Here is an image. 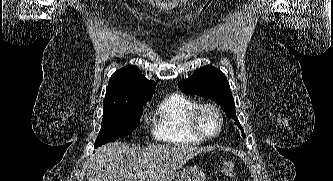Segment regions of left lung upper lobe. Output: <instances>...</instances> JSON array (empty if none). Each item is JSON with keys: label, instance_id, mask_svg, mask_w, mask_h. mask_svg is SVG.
Listing matches in <instances>:
<instances>
[{"label": "left lung upper lobe", "instance_id": "left-lung-upper-lobe-1", "mask_svg": "<svg viewBox=\"0 0 333 181\" xmlns=\"http://www.w3.org/2000/svg\"><path fill=\"white\" fill-rule=\"evenodd\" d=\"M180 90L187 94H196L215 101L224 108L229 119L235 120L245 138L243 129L236 117L234 99L226 76L213 66L196 70L193 75L178 83Z\"/></svg>", "mask_w": 333, "mask_h": 181}]
</instances>
